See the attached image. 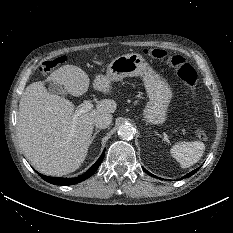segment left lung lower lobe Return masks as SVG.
I'll return each mask as SVG.
<instances>
[{
    "label": "left lung lower lobe",
    "mask_w": 233,
    "mask_h": 233,
    "mask_svg": "<svg viewBox=\"0 0 233 233\" xmlns=\"http://www.w3.org/2000/svg\"><path fill=\"white\" fill-rule=\"evenodd\" d=\"M144 169V171L146 172V173H148L149 175H151V176H153L151 173H149L145 168H143ZM198 169L199 168H197V169H195L194 171H192V172H190L189 174H187L185 177H190V176H192L194 173H196L197 171H198ZM153 177H155V176H153Z\"/></svg>",
    "instance_id": "0a47b994"
}]
</instances>
